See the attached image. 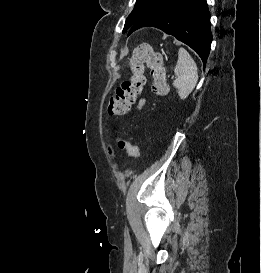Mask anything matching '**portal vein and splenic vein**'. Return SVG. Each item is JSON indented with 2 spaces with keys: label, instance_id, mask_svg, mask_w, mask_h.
<instances>
[{
  "label": "portal vein and splenic vein",
  "instance_id": "obj_1",
  "mask_svg": "<svg viewBox=\"0 0 261 273\" xmlns=\"http://www.w3.org/2000/svg\"><path fill=\"white\" fill-rule=\"evenodd\" d=\"M174 78H175L174 76L171 77V79H174Z\"/></svg>",
  "mask_w": 261,
  "mask_h": 273
}]
</instances>
